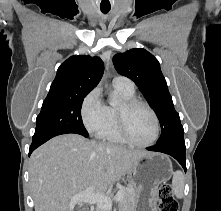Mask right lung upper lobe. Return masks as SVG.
Segmentation results:
<instances>
[{
    "mask_svg": "<svg viewBox=\"0 0 221 211\" xmlns=\"http://www.w3.org/2000/svg\"><path fill=\"white\" fill-rule=\"evenodd\" d=\"M104 64L98 57L72 56L57 70L48 95L88 94L99 83Z\"/></svg>",
    "mask_w": 221,
    "mask_h": 211,
    "instance_id": "cb5924a9",
    "label": "right lung upper lobe"
}]
</instances>
